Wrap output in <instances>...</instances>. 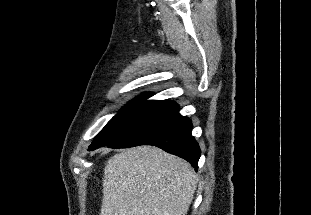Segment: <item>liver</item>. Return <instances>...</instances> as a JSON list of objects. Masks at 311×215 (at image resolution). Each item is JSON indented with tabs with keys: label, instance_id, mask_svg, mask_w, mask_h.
<instances>
[{
	"label": "liver",
	"instance_id": "1",
	"mask_svg": "<svg viewBox=\"0 0 311 215\" xmlns=\"http://www.w3.org/2000/svg\"><path fill=\"white\" fill-rule=\"evenodd\" d=\"M190 164L143 146L108 159L100 215H186L196 190Z\"/></svg>",
	"mask_w": 311,
	"mask_h": 215
}]
</instances>
